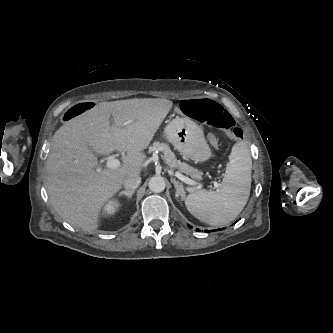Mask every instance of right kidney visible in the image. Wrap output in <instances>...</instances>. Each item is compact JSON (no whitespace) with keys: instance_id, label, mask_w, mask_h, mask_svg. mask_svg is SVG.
<instances>
[{"instance_id":"ca27d5eb","label":"right kidney","mask_w":333,"mask_h":333,"mask_svg":"<svg viewBox=\"0 0 333 333\" xmlns=\"http://www.w3.org/2000/svg\"><path fill=\"white\" fill-rule=\"evenodd\" d=\"M119 209V203L117 201H110L104 208L107 215H113Z\"/></svg>"}]
</instances>
